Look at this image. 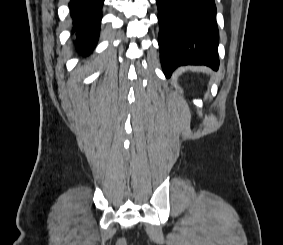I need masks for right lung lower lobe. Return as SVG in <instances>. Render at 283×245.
Here are the masks:
<instances>
[{
    "mask_svg": "<svg viewBox=\"0 0 283 245\" xmlns=\"http://www.w3.org/2000/svg\"><path fill=\"white\" fill-rule=\"evenodd\" d=\"M104 0H70L73 18L72 32L76 34V45L82 53H89L95 46L101 22Z\"/></svg>",
    "mask_w": 283,
    "mask_h": 245,
    "instance_id": "right-lung-lower-lobe-1",
    "label": "right lung lower lobe"
}]
</instances>
